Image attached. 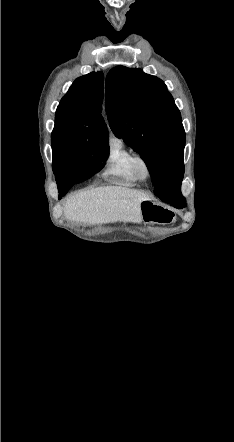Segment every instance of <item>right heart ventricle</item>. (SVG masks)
Wrapping results in <instances>:
<instances>
[{"mask_svg": "<svg viewBox=\"0 0 234 442\" xmlns=\"http://www.w3.org/2000/svg\"><path fill=\"white\" fill-rule=\"evenodd\" d=\"M133 155V151L122 138H111L104 160L102 175L117 183L125 185L136 184L138 179L131 167Z\"/></svg>", "mask_w": 234, "mask_h": 442, "instance_id": "right-heart-ventricle-1", "label": "right heart ventricle"}]
</instances>
